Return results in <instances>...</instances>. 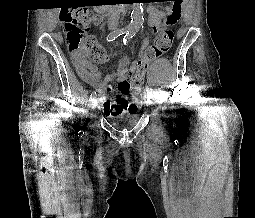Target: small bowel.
<instances>
[{
  "label": "small bowel",
  "instance_id": "1",
  "mask_svg": "<svg viewBox=\"0 0 255 218\" xmlns=\"http://www.w3.org/2000/svg\"><path fill=\"white\" fill-rule=\"evenodd\" d=\"M181 10V2L178 4ZM149 13L148 23L149 26L152 28V31L155 33L159 29V27L163 24L166 15L168 16L170 13L173 12L174 7L173 5L161 9L155 7L153 5L148 6L147 8ZM92 40V39H90ZM149 40L146 39L143 44V50H147ZM145 56L143 51L140 52L138 59L129 66V60L126 57H123L120 60L116 75L118 85L123 84L126 82V76L129 74H133L137 70V65L140 60H142ZM110 60V55L103 52L98 46L95 49L94 56L91 61L84 59V65L87 71V77L85 78L91 85H93L99 95V101L103 104V110L106 114L108 110L106 109L104 102L106 100L105 93L108 90V83L113 80L115 74H109L106 77H103L102 72L100 71L97 64L107 63ZM125 98L124 94L121 93L119 96H114L111 100L112 106L115 104L116 101L122 102Z\"/></svg>",
  "mask_w": 255,
  "mask_h": 218
}]
</instances>
